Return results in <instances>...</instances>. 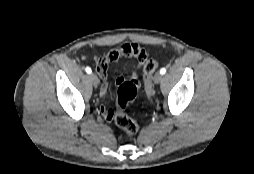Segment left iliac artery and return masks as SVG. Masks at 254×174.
Returning a JSON list of instances; mask_svg holds the SVG:
<instances>
[{
    "label": "left iliac artery",
    "instance_id": "obj_1",
    "mask_svg": "<svg viewBox=\"0 0 254 174\" xmlns=\"http://www.w3.org/2000/svg\"><path fill=\"white\" fill-rule=\"evenodd\" d=\"M160 73L163 75L166 73V68H161Z\"/></svg>",
    "mask_w": 254,
    "mask_h": 174
}]
</instances>
